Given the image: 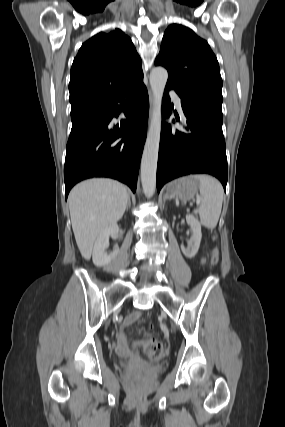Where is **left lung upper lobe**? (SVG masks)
Returning a JSON list of instances; mask_svg holds the SVG:
<instances>
[{
  "label": "left lung upper lobe",
  "instance_id": "5c2ea615",
  "mask_svg": "<svg viewBox=\"0 0 285 427\" xmlns=\"http://www.w3.org/2000/svg\"><path fill=\"white\" fill-rule=\"evenodd\" d=\"M155 65L168 70L167 86L192 104L222 110V78L216 56L208 43L191 29L170 25L164 33Z\"/></svg>",
  "mask_w": 285,
  "mask_h": 427
}]
</instances>
